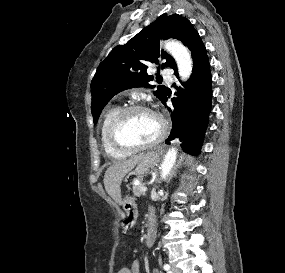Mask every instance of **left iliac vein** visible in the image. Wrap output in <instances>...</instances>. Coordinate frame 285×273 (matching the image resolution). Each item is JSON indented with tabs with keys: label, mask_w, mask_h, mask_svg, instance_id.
<instances>
[{
	"label": "left iliac vein",
	"mask_w": 285,
	"mask_h": 273,
	"mask_svg": "<svg viewBox=\"0 0 285 273\" xmlns=\"http://www.w3.org/2000/svg\"><path fill=\"white\" fill-rule=\"evenodd\" d=\"M171 273H181L180 269L175 267V266H172L171 268Z\"/></svg>",
	"instance_id": "obj_1"
}]
</instances>
